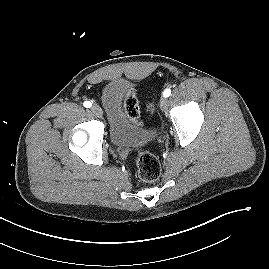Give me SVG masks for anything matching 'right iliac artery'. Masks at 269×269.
Returning a JSON list of instances; mask_svg holds the SVG:
<instances>
[{
  "instance_id": "obj_1",
  "label": "right iliac artery",
  "mask_w": 269,
  "mask_h": 269,
  "mask_svg": "<svg viewBox=\"0 0 269 269\" xmlns=\"http://www.w3.org/2000/svg\"><path fill=\"white\" fill-rule=\"evenodd\" d=\"M83 105L86 108H90L92 106L91 102H89V101H85Z\"/></svg>"
}]
</instances>
